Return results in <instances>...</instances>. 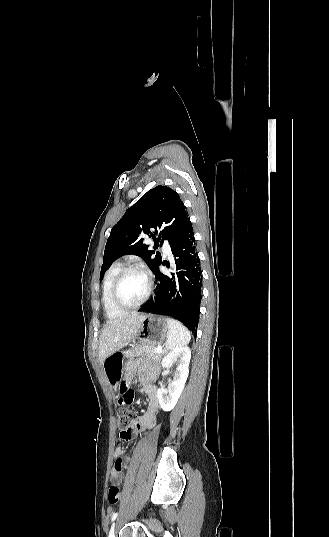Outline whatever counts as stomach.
Segmentation results:
<instances>
[{"mask_svg": "<svg viewBox=\"0 0 329 537\" xmlns=\"http://www.w3.org/2000/svg\"><path fill=\"white\" fill-rule=\"evenodd\" d=\"M136 338L148 345H160L169 335L168 319L153 314L143 316ZM106 377L111 385L119 383L123 374V354L114 352L102 364Z\"/></svg>", "mask_w": 329, "mask_h": 537, "instance_id": "1", "label": "stomach"}]
</instances>
